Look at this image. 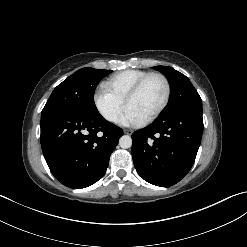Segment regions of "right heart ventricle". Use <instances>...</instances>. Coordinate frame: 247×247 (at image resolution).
I'll list each match as a JSON object with an SVG mask.
<instances>
[{
  "label": "right heart ventricle",
  "mask_w": 247,
  "mask_h": 247,
  "mask_svg": "<svg viewBox=\"0 0 247 247\" xmlns=\"http://www.w3.org/2000/svg\"><path fill=\"white\" fill-rule=\"evenodd\" d=\"M147 74H149V72L144 70H125L112 75L105 81L104 85L117 97L125 100V97L129 90Z\"/></svg>",
  "instance_id": "e07e8e85"
}]
</instances>
